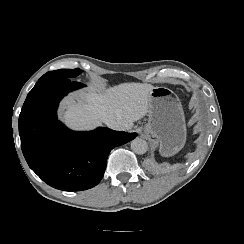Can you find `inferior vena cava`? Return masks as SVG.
<instances>
[{"instance_id":"1","label":"inferior vena cava","mask_w":244,"mask_h":244,"mask_svg":"<svg viewBox=\"0 0 244 244\" xmlns=\"http://www.w3.org/2000/svg\"><path fill=\"white\" fill-rule=\"evenodd\" d=\"M102 122L105 123L109 128L114 130H125V128L116 120L103 118Z\"/></svg>"}]
</instances>
